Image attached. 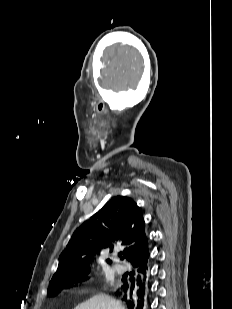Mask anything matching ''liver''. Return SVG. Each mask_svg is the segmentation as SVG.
<instances>
[{"label": "liver", "instance_id": "1", "mask_svg": "<svg viewBox=\"0 0 232 309\" xmlns=\"http://www.w3.org/2000/svg\"><path fill=\"white\" fill-rule=\"evenodd\" d=\"M74 309H125V307L112 297L99 294L79 304Z\"/></svg>", "mask_w": 232, "mask_h": 309}]
</instances>
